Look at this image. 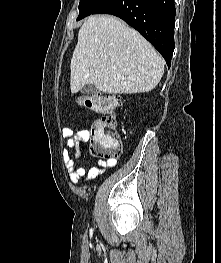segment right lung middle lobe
<instances>
[{
	"instance_id": "dd1d6c3e",
	"label": "right lung middle lobe",
	"mask_w": 221,
	"mask_h": 263,
	"mask_svg": "<svg viewBox=\"0 0 221 263\" xmlns=\"http://www.w3.org/2000/svg\"><path fill=\"white\" fill-rule=\"evenodd\" d=\"M106 0H80L79 3V16L77 20L93 14L94 11L102 5Z\"/></svg>"
}]
</instances>
